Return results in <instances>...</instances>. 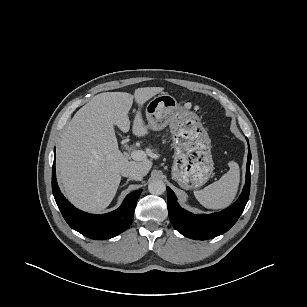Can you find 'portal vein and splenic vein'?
<instances>
[{"mask_svg": "<svg viewBox=\"0 0 307 307\" xmlns=\"http://www.w3.org/2000/svg\"><path fill=\"white\" fill-rule=\"evenodd\" d=\"M131 158L136 161H142L147 158L146 153L142 150H134L131 152Z\"/></svg>", "mask_w": 307, "mask_h": 307, "instance_id": "obj_1", "label": "portal vein and splenic vein"}]
</instances>
